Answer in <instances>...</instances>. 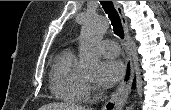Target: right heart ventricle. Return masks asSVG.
Returning <instances> with one entry per match:
<instances>
[{
	"mask_svg": "<svg viewBox=\"0 0 171 110\" xmlns=\"http://www.w3.org/2000/svg\"><path fill=\"white\" fill-rule=\"evenodd\" d=\"M75 61L72 50H63L55 58L50 74L52 93L65 102H82L88 97L87 84L75 70Z\"/></svg>",
	"mask_w": 171,
	"mask_h": 110,
	"instance_id": "right-heart-ventricle-1",
	"label": "right heart ventricle"
}]
</instances>
